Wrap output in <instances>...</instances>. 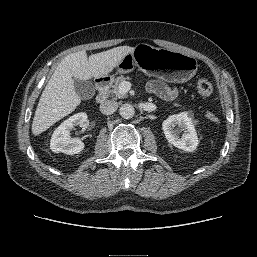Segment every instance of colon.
Listing matches in <instances>:
<instances>
[{"label": "colon", "instance_id": "colon-1", "mask_svg": "<svg viewBox=\"0 0 257 257\" xmlns=\"http://www.w3.org/2000/svg\"><path fill=\"white\" fill-rule=\"evenodd\" d=\"M197 92L202 97H208L213 92V86L208 80H200L197 83ZM206 117L211 122H218V116L213 112H207Z\"/></svg>", "mask_w": 257, "mask_h": 257}]
</instances>
